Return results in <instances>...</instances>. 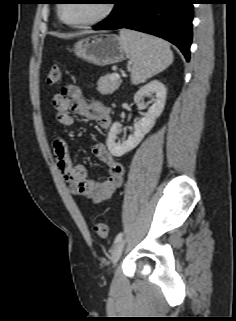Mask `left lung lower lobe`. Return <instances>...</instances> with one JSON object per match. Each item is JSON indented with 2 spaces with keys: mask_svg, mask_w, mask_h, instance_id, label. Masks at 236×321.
I'll list each match as a JSON object with an SVG mask.
<instances>
[{
  "mask_svg": "<svg viewBox=\"0 0 236 321\" xmlns=\"http://www.w3.org/2000/svg\"><path fill=\"white\" fill-rule=\"evenodd\" d=\"M196 0H115L110 16L94 30L128 28L163 38L190 59L193 4Z\"/></svg>",
  "mask_w": 236,
  "mask_h": 321,
  "instance_id": "left-lung-lower-lobe-1",
  "label": "left lung lower lobe"
}]
</instances>
